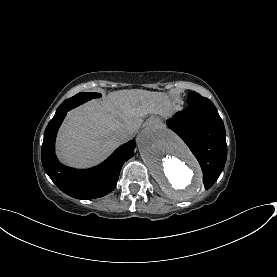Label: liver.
<instances>
[{
  "label": "liver",
  "mask_w": 277,
  "mask_h": 277,
  "mask_svg": "<svg viewBox=\"0 0 277 277\" xmlns=\"http://www.w3.org/2000/svg\"><path fill=\"white\" fill-rule=\"evenodd\" d=\"M173 109L164 93L145 90L110 92L103 100H92L71 110L57 137V155L72 167L100 163L121 143L114 133L137 130L148 114L171 116Z\"/></svg>",
  "instance_id": "obj_1"
}]
</instances>
